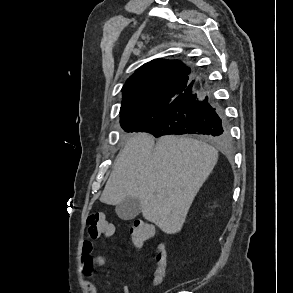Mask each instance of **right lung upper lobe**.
Instances as JSON below:
<instances>
[{
	"instance_id": "right-lung-upper-lobe-1",
	"label": "right lung upper lobe",
	"mask_w": 293,
	"mask_h": 293,
	"mask_svg": "<svg viewBox=\"0 0 293 293\" xmlns=\"http://www.w3.org/2000/svg\"><path fill=\"white\" fill-rule=\"evenodd\" d=\"M189 75L190 69L177 60L155 59L144 64L122 88L120 113L149 108L157 116L187 88Z\"/></svg>"
}]
</instances>
